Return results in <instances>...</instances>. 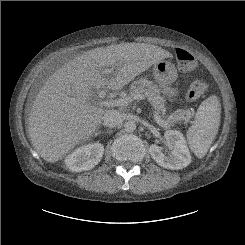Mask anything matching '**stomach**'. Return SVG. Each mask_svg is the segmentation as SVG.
Listing matches in <instances>:
<instances>
[{
  "mask_svg": "<svg viewBox=\"0 0 245 245\" xmlns=\"http://www.w3.org/2000/svg\"><path fill=\"white\" fill-rule=\"evenodd\" d=\"M153 76L162 92L169 98L176 97L178 90L171 87L178 77L177 69L171 62L161 60L153 67Z\"/></svg>",
  "mask_w": 245,
  "mask_h": 245,
  "instance_id": "0dacf381",
  "label": "stomach"
}]
</instances>
